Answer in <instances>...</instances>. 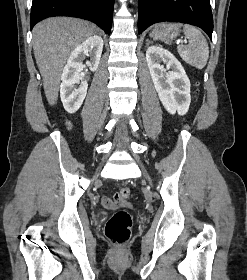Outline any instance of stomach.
<instances>
[{"label":"stomach","mask_w":247,"mask_h":280,"mask_svg":"<svg viewBox=\"0 0 247 280\" xmlns=\"http://www.w3.org/2000/svg\"><path fill=\"white\" fill-rule=\"evenodd\" d=\"M180 33L179 27L175 24H159L150 34L155 40L169 41L176 38Z\"/></svg>","instance_id":"1"}]
</instances>
